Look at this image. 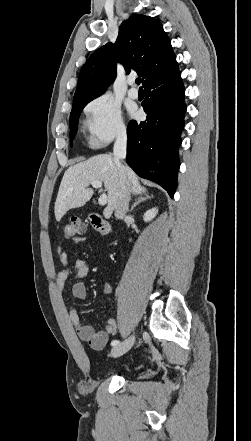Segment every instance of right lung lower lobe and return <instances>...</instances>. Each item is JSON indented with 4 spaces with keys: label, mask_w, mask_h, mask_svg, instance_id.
Returning <instances> with one entry per match:
<instances>
[{
    "label": "right lung lower lobe",
    "mask_w": 251,
    "mask_h": 441,
    "mask_svg": "<svg viewBox=\"0 0 251 441\" xmlns=\"http://www.w3.org/2000/svg\"><path fill=\"white\" fill-rule=\"evenodd\" d=\"M144 88L146 98L142 106L147 119L128 124L126 162L140 177L158 183L173 197L186 111L178 65L149 80Z\"/></svg>",
    "instance_id": "obj_1"
}]
</instances>
